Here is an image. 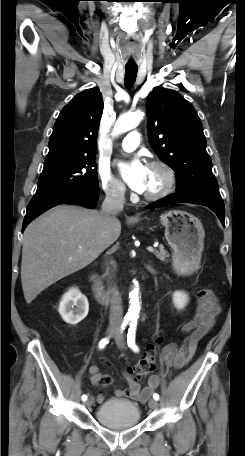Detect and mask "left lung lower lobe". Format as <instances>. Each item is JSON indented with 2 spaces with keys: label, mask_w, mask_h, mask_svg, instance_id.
I'll return each instance as SVG.
<instances>
[{
  "label": "left lung lower lobe",
  "mask_w": 245,
  "mask_h": 456,
  "mask_svg": "<svg viewBox=\"0 0 245 456\" xmlns=\"http://www.w3.org/2000/svg\"><path fill=\"white\" fill-rule=\"evenodd\" d=\"M194 203L206 206L210 208L220 219L223 226H225V208L224 203L222 200L207 198V197H194V196H186V195H178V194H171L168 195L150 205L146 208H155V207H163L175 203Z\"/></svg>",
  "instance_id": "1"
}]
</instances>
